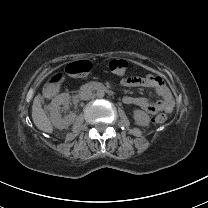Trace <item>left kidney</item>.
I'll use <instances>...</instances> for the list:
<instances>
[{"label": "left kidney", "mask_w": 208, "mask_h": 208, "mask_svg": "<svg viewBox=\"0 0 208 208\" xmlns=\"http://www.w3.org/2000/svg\"><path fill=\"white\" fill-rule=\"evenodd\" d=\"M133 119L135 125L140 127H148L150 125V116L144 110L134 109Z\"/></svg>", "instance_id": "5707ae66"}]
</instances>
